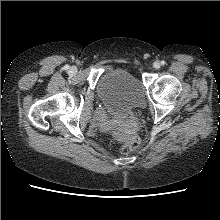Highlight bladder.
<instances>
[{"mask_svg":"<svg viewBox=\"0 0 220 220\" xmlns=\"http://www.w3.org/2000/svg\"><path fill=\"white\" fill-rule=\"evenodd\" d=\"M97 94L109 113L127 118L144 103V88L129 71L119 69L104 74L97 85Z\"/></svg>","mask_w":220,"mask_h":220,"instance_id":"1","label":"bladder"}]
</instances>
